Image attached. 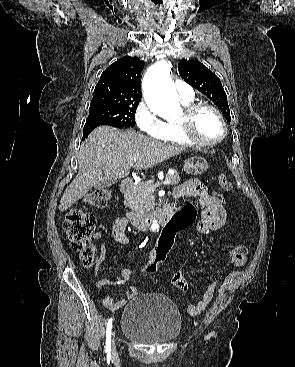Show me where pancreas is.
I'll list each match as a JSON object with an SVG mask.
<instances>
[{"mask_svg":"<svg viewBox=\"0 0 295 367\" xmlns=\"http://www.w3.org/2000/svg\"><path fill=\"white\" fill-rule=\"evenodd\" d=\"M166 178L170 179L169 185H177L180 177L177 173L167 174ZM153 185V180L139 183L131 191L125 194L124 205L129 207L136 214H144L154 208L153 191L148 187Z\"/></svg>","mask_w":295,"mask_h":367,"instance_id":"1","label":"pancreas"}]
</instances>
